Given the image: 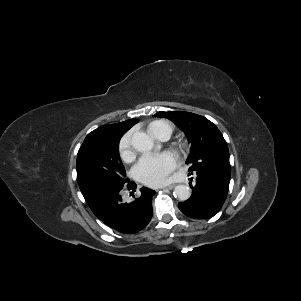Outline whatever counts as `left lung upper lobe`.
Wrapping results in <instances>:
<instances>
[{
    "label": "left lung upper lobe",
    "instance_id": "left-lung-upper-lobe-1",
    "mask_svg": "<svg viewBox=\"0 0 301 301\" xmlns=\"http://www.w3.org/2000/svg\"><path fill=\"white\" fill-rule=\"evenodd\" d=\"M154 116L170 119L186 133L191 143L186 160L190 165L189 171H213L230 176L227 143L215 124L190 112H158Z\"/></svg>",
    "mask_w": 301,
    "mask_h": 301
}]
</instances>
